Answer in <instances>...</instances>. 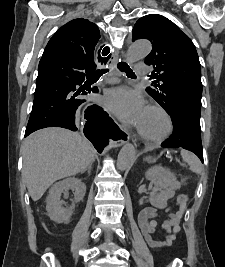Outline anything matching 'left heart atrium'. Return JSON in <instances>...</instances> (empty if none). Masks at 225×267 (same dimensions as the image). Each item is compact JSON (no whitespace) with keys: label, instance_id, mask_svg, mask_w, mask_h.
<instances>
[{"label":"left heart atrium","instance_id":"obj_1","mask_svg":"<svg viewBox=\"0 0 225 267\" xmlns=\"http://www.w3.org/2000/svg\"><path fill=\"white\" fill-rule=\"evenodd\" d=\"M105 105L121 120L136 127L139 126L147 109L142 94L127 87L108 91Z\"/></svg>","mask_w":225,"mask_h":267}]
</instances>
